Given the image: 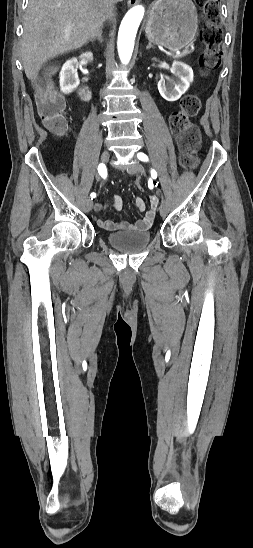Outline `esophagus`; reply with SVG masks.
I'll return each instance as SVG.
<instances>
[{
	"mask_svg": "<svg viewBox=\"0 0 253 548\" xmlns=\"http://www.w3.org/2000/svg\"><path fill=\"white\" fill-rule=\"evenodd\" d=\"M138 2L139 0H128L127 4L129 7H131V6H135Z\"/></svg>",
	"mask_w": 253,
	"mask_h": 548,
	"instance_id": "obj_1",
	"label": "esophagus"
}]
</instances>
